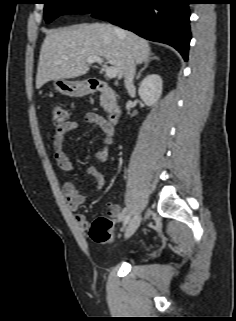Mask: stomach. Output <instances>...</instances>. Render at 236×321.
Here are the masks:
<instances>
[{
    "label": "stomach",
    "mask_w": 236,
    "mask_h": 321,
    "mask_svg": "<svg viewBox=\"0 0 236 321\" xmlns=\"http://www.w3.org/2000/svg\"><path fill=\"white\" fill-rule=\"evenodd\" d=\"M54 87L61 94L70 97H80L90 93V88L86 81L58 79L54 81Z\"/></svg>",
    "instance_id": "0dacf381"
}]
</instances>
